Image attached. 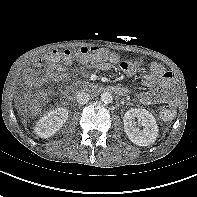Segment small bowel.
<instances>
[{
	"label": "small bowel",
	"mask_w": 197,
	"mask_h": 197,
	"mask_svg": "<svg viewBox=\"0 0 197 197\" xmlns=\"http://www.w3.org/2000/svg\"><path fill=\"white\" fill-rule=\"evenodd\" d=\"M41 60L36 59L35 64L40 65ZM129 65L122 68L123 71L131 76L137 71V63L128 61ZM106 68L107 65H100ZM68 78V69L60 62H50L45 69V79L49 81H56L59 79ZM143 85L146 90L139 93L138 97L142 104H160L169 100L173 90V77L170 72H167L160 63H152L149 70L143 76Z\"/></svg>",
	"instance_id": "small-bowel-1"
}]
</instances>
